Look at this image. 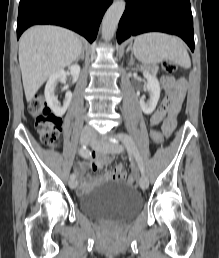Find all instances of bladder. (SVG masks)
I'll list each match as a JSON object with an SVG mask.
<instances>
[{
  "mask_svg": "<svg viewBox=\"0 0 219 258\" xmlns=\"http://www.w3.org/2000/svg\"><path fill=\"white\" fill-rule=\"evenodd\" d=\"M84 214L103 220L126 221L143 207L142 197L129 185L106 181L78 199Z\"/></svg>",
  "mask_w": 219,
  "mask_h": 258,
  "instance_id": "1",
  "label": "bladder"
}]
</instances>
